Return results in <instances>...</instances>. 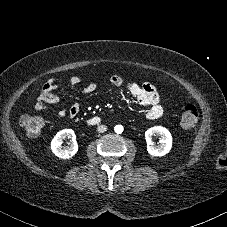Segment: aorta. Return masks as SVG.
I'll return each mask as SVG.
<instances>
[{
	"instance_id": "762f6f07",
	"label": "aorta",
	"mask_w": 227,
	"mask_h": 227,
	"mask_svg": "<svg viewBox=\"0 0 227 227\" xmlns=\"http://www.w3.org/2000/svg\"><path fill=\"white\" fill-rule=\"evenodd\" d=\"M114 131L117 133V134H121L123 132V126L122 125H116L114 127Z\"/></svg>"
}]
</instances>
